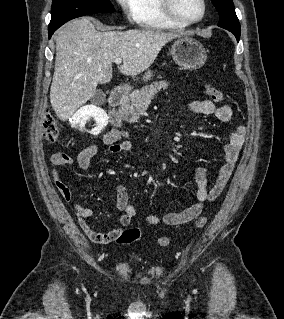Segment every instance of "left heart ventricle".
<instances>
[{"mask_svg": "<svg viewBox=\"0 0 284 319\" xmlns=\"http://www.w3.org/2000/svg\"><path fill=\"white\" fill-rule=\"evenodd\" d=\"M177 14L185 20H194L202 14L201 0H174Z\"/></svg>", "mask_w": 284, "mask_h": 319, "instance_id": "obj_1", "label": "left heart ventricle"}]
</instances>
